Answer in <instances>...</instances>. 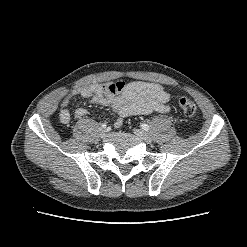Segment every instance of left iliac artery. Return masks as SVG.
<instances>
[{"instance_id": "44dca946", "label": "left iliac artery", "mask_w": 247, "mask_h": 247, "mask_svg": "<svg viewBox=\"0 0 247 247\" xmlns=\"http://www.w3.org/2000/svg\"><path fill=\"white\" fill-rule=\"evenodd\" d=\"M140 126H141V128H142L144 131H148V130H149V126H148L147 124H145V123L141 124Z\"/></svg>"}]
</instances>
